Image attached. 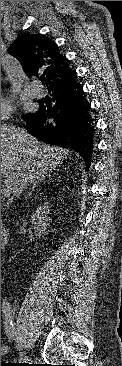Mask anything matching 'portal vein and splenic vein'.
Wrapping results in <instances>:
<instances>
[{"instance_id": "obj_1", "label": "portal vein and splenic vein", "mask_w": 122, "mask_h": 366, "mask_svg": "<svg viewBox=\"0 0 122 366\" xmlns=\"http://www.w3.org/2000/svg\"><path fill=\"white\" fill-rule=\"evenodd\" d=\"M1 194H2V196H4V197H9V196H10V190H9V188H8V187H6V188H2V189H1Z\"/></svg>"}]
</instances>
